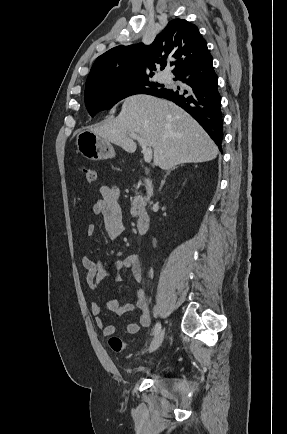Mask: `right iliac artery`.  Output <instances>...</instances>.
Here are the masks:
<instances>
[{"label":"right iliac artery","mask_w":287,"mask_h":434,"mask_svg":"<svg viewBox=\"0 0 287 434\" xmlns=\"http://www.w3.org/2000/svg\"><path fill=\"white\" fill-rule=\"evenodd\" d=\"M160 330H161V324L160 322H157L153 330V335L156 336L160 332Z\"/></svg>","instance_id":"1"}]
</instances>
